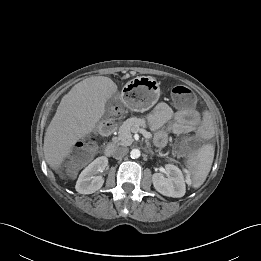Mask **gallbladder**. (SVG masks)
<instances>
[{
	"instance_id": "1",
	"label": "gallbladder",
	"mask_w": 261,
	"mask_h": 261,
	"mask_svg": "<svg viewBox=\"0 0 261 261\" xmlns=\"http://www.w3.org/2000/svg\"><path fill=\"white\" fill-rule=\"evenodd\" d=\"M118 95L114 94L110 99H109V103H112L113 101L117 100Z\"/></svg>"
}]
</instances>
